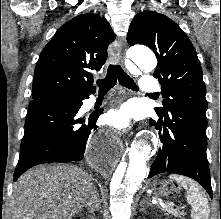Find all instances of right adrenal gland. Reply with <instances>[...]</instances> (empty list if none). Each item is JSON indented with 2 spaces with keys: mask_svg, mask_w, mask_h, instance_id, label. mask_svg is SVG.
Returning a JSON list of instances; mask_svg holds the SVG:
<instances>
[{
  "mask_svg": "<svg viewBox=\"0 0 221 219\" xmlns=\"http://www.w3.org/2000/svg\"><path fill=\"white\" fill-rule=\"evenodd\" d=\"M94 191H96V190H94ZM88 206V202H86V207ZM89 209V208H88ZM91 213H93V211H91Z\"/></svg>",
  "mask_w": 221,
  "mask_h": 219,
  "instance_id": "right-adrenal-gland-1",
  "label": "right adrenal gland"
}]
</instances>
